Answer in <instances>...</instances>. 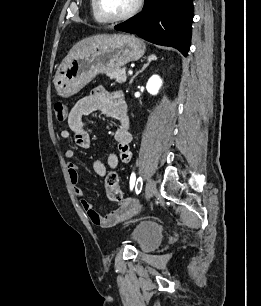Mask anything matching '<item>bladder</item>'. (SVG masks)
I'll use <instances>...</instances> for the list:
<instances>
[{"mask_svg": "<svg viewBox=\"0 0 261 306\" xmlns=\"http://www.w3.org/2000/svg\"><path fill=\"white\" fill-rule=\"evenodd\" d=\"M131 240L138 251H152L162 240V228L155 222L142 221L133 229Z\"/></svg>", "mask_w": 261, "mask_h": 306, "instance_id": "31cf9c89", "label": "bladder"}]
</instances>
